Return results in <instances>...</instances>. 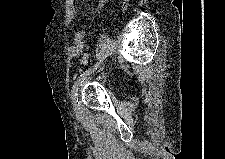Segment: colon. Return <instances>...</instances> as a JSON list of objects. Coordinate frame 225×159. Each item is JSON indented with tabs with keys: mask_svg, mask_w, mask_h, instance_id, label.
Returning <instances> with one entry per match:
<instances>
[{
	"mask_svg": "<svg viewBox=\"0 0 225 159\" xmlns=\"http://www.w3.org/2000/svg\"><path fill=\"white\" fill-rule=\"evenodd\" d=\"M128 3H129V0H124L123 7H127ZM82 62L85 66H88L92 63L91 55L88 52L84 53L82 57Z\"/></svg>",
	"mask_w": 225,
	"mask_h": 159,
	"instance_id": "obj_1",
	"label": "colon"
}]
</instances>
